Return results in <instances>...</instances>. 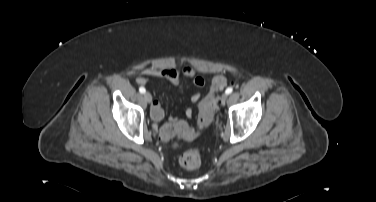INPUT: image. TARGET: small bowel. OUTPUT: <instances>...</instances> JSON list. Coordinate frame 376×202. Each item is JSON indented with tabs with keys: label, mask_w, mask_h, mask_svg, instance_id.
<instances>
[{
	"label": "small bowel",
	"mask_w": 376,
	"mask_h": 202,
	"mask_svg": "<svg viewBox=\"0 0 376 202\" xmlns=\"http://www.w3.org/2000/svg\"><path fill=\"white\" fill-rule=\"evenodd\" d=\"M182 74L185 77L192 78L194 86L197 89L202 88L203 85L205 84L204 79L201 76H198L195 73L194 69L190 67L184 68L182 71ZM148 77L163 78V79L168 80L171 84L177 86L179 85L180 80H181V72L174 68H162V67L146 68L141 71V76L138 77L137 84L141 85V87L144 86L148 81ZM200 97H201V94L197 91L191 95L190 100L193 103H196L199 101ZM150 113H151V117L157 122L161 121L164 118V111L161 107V104L156 100L153 101L151 104ZM185 115L186 117L191 118L193 116V109L191 108L186 109ZM169 121L170 123L182 122L179 118L175 116H171L169 118Z\"/></svg>",
	"instance_id": "c3829d8e"
}]
</instances>
